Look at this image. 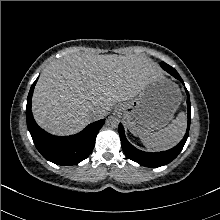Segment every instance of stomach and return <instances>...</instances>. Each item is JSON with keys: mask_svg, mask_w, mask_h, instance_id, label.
<instances>
[{"mask_svg": "<svg viewBox=\"0 0 220 220\" xmlns=\"http://www.w3.org/2000/svg\"><path fill=\"white\" fill-rule=\"evenodd\" d=\"M181 100L178 85L161 74L149 81L134 99L120 103L117 110L131 133L141 136L165 127Z\"/></svg>", "mask_w": 220, "mask_h": 220, "instance_id": "1", "label": "stomach"}]
</instances>
